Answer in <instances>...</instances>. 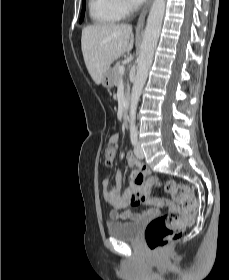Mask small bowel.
Segmentation results:
<instances>
[{
    "label": "small bowel",
    "mask_w": 229,
    "mask_h": 280,
    "mask_svg": "<svg viewBox=\"0 0 229 280\" xmlns=\"http://www.w3.org/2000/svg\"><path fill=\"white\" fill-rule=\"evenodd\" d=\"M113 145H117L118 137L113 136L110 140ZM126 166L131 168L137 166L139 171H143V165L140 159H138L133 153L129 152L126 155ZM140 172H133L130 175L131 183L126 190L122 189V172L117 169L115 173V185H112L109 179H105L103 182V195L105 199L111 204L112 210L110 217L113 220L125 219L134 220L137 218H151L158 214L161 207L166 205L168 208L173 209L174 206L170 202H165L162 198L151 196L153 185L151 183H143L141 185L136 184L135 177ZM143 173V172H142ZM135 194L140 195L139 202H133L132 196ZM159 199L160 205L152 203L153 200ZM146 205L147 207L136 212L134 210L122 211L129 206Z\"/></svg>",
    "instance_id": "c3829d8e"
}]
</instances>
